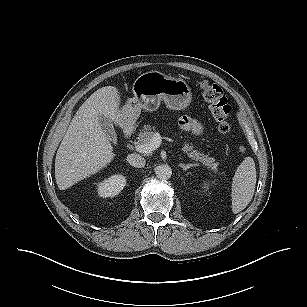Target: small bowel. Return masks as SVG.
<instances>
[{"label":"small bowel","mask_w":307,"mask_h":307,"mask_svg":"<svg viewBox=\"0 0 307 307\" xmlns=\"http://www.w3.org/2000/svg\"><path fill=\"white\" fill-rule=\"evenodd\" d=\"M180 126L183 130H190L193 133H199L200 131V127L197 124L190 122L188 119H182L180 121Z\"/></svg>","instance_id":"obj_1"}]
</instances>
